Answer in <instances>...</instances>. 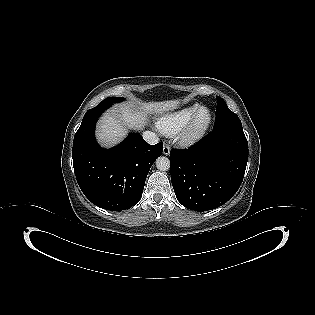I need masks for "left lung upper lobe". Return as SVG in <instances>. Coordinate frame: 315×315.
I'll use <instances>...</instances> for the list:
<instances>
[{"instance_id":"left-lung-upper-lobe-1","label":"left lung upper lobe","mask_w":315,"mask_h":315,"mask_svg":"<svg viewBox=\"0 0 315 315\" xmlns=\"http://www.w3.org/2000/svg\"><path fill=\"white\" fill-rule=\"evenodd\" d=\"M217 107H216V118L213 130H218L225 127H238L242 128V123L239 117L229 110L225 101L216 96Z\"/></svg>"}]
</instances>
